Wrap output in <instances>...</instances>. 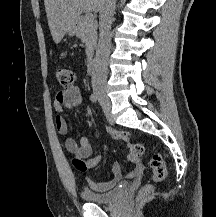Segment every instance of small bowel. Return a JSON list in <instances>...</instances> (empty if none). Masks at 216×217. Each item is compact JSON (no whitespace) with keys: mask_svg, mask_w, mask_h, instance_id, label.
<instances>
[{"mask_svg":"<svg viewBox=\"0 0 216 217\" xmlns=\"http://www.w3.org/2000/svg\"><path fill=\"white\" fill-rule=\"evenodd\" d=\"M82 102V93L80 89L73 86L70 89H63L56 93L54 98V109L56 111L55 125L58 132L62 135H67L68 124L63 116L64 108H74ZM66 149L75 154L78 158L84 159L88 169L95 168L101 161L103 154L99 152L97 155H92V147L89 139L82 137L78 142L72 138L65 139ZM143 170V165L139 161H134V164L127 176L129 178L137 177ZM121 180L120 165L115 164L112 169V177L106 181H97L90 177L85 178L86 185L93 191H106L114 187Z\"/></svg>","mask_w":216,"mask_h":217,"instance_id":"1","label":"small bowel"}]
</instances>
